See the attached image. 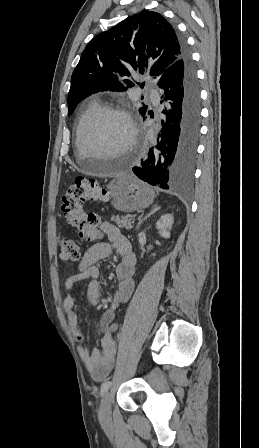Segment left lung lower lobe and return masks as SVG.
Returning <instances> with one entry per match:
<instances>
[{"mask_svg":"<svg viewBox=\"0 0 259 448\" xmlns=\"http://www.w3.org/2000/svg\"><path fill=\"white\" fill-rule=\"evenodd\" d=\"M182 43V56L158 78L157 85L164 90L161 103L167 101L162 113L161 141L148 153L134 174L141 180L162 189L181 191L192 183L200 130V91L196 70ZM147 113L145 114V116ZM144 116V117H145Z\"/></svg>","mask_w":259,"mask_h":448,"instance_id":"0a47b994","label":"left lung lower lobe"}]
</instances>
